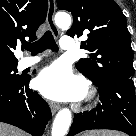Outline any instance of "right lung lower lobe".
<instances>
[{"label": "right lung lower lobe", "mask_w": 136, "mask_h": 136, "mask_svg": "<svg viewBox=\"0 0 136 136\" xmlns=\"http://www.w3.org/2000/svg\"><path fill=\"white\" fill-rule=\"evenodd\" d=\"M30 76L10 85H0V122L17 126L33 136H42L52 114L48 104L29 89Z\"/></svg>", "instance_id": "obj_1"}]
</instances>
